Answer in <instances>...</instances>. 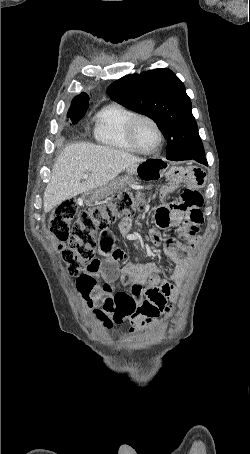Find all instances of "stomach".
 <instances>
[{"instance_id":"1","label":"stomach","mask_w":250,"mask_h":454,"mask_svg":"<svg viewBox=\"0 0 250 454\" xmlns=\"http://www.w3.org/2000/svg\"><path fill=\"white\" fill-rule=\"evenodd\" d=\"M165 162L158 159H148L143 162L131 166L127 169L129 176H135L140 181H152L162 176L165 169ZM117 189V185L113 182L108 183L100 188L85 193L88 202L104 199L111 195Z\"/></svg>"}]
</instances>
